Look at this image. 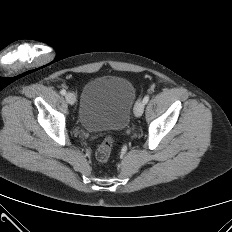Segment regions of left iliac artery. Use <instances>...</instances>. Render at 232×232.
Listing matches in <instances>:
<instances>
[{
  "instance_id": "left-iliac-artery-1",
  "label": "left iliac artery",
  "mask_w": 232,
  "mask_h": 232,
  "mask_svg": "<svg viewBox=\"0 0 232 232\" xmlns=\"http://www.w3.org/2000/svg\"><path fill=\"white\" fill-rule=\"evenodd\" d=\"M148 101H149V96L146 95V96L143 98V103H144V105L147 104Z\"/></svg>"
}]
</instances>
